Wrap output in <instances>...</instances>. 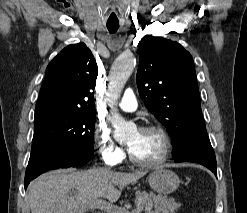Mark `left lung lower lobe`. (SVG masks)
Returning <instances> with one entry per match:
<instances>
[{"instance_id":"1","label":"left lung lower lobe","mask_w":247,"mask_h":213,"mask_svg":"<svg viewBox=\"0 0 247 213\" xmlns=\"http://www.w3.org/2000/svg\"><path fill=\"white\" fill-rule=\"evenodd\" d=\"M173 156L176 163H199L210 169L217 176L215 153L207 133L193 134L185 146Z\"/></svg>"}]
</instances>
